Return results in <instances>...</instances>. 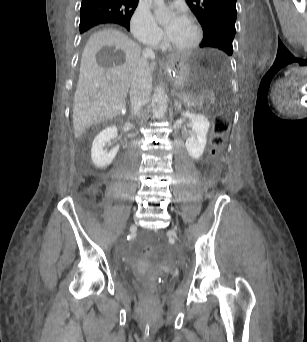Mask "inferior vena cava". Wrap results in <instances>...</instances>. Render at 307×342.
Segmentation results:
<instances>
[{
	"label": "inferior vena cava",
	"instance_id": "602c4592",
	"mask_svg": "<svg viewBox=\"0 0 307 342\" xmlns=\"http://www.w3.org/2000/svg\"><path fill=\"white\" fill-rule=\"evenodd\" d=\"M143 58L140 60L139 68L135 72V76L131 82L130 102L133 116H140V112L148 104L150 100L152 88V72L149 68L147 58L154 56L151 48H144Z\"/></svg>",
	"mask_w": 307,
	"mask_h": 342
}]
</instances>
